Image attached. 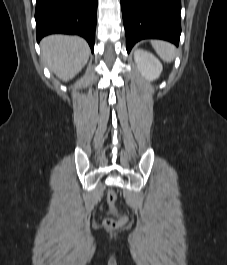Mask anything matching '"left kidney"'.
I'll return each mask as SVG.
<instances>
[{"label":"left kidney","instance_id":"1","mask_svg":"<svg viewBox=\"0 0 227 265\" xmlns=\"http://www.w3.org/2000/svg\"><path fill=\"white\" fill-rule=\"evenodd\" d=\"M134 59L141 75L149 80L157 79L162 72V64L150 52L138 49L134 53Z\"/></svg>","mask_w":227,"mask_h":265}]
</instances>
